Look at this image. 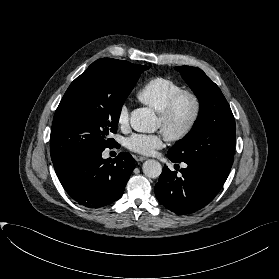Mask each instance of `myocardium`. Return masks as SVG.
<instances>
[{
    "label": "myocardium",
    "instance_id": "1",
    "mask_svg": "<svg viewBox=\"0 0 279 279\" xmlns=\"http://www.w3.org/2000/svg\"><path fill=\"white\" fill-rule=\"evenodd\" d=\"M181 98H188L193 105V111L188 122L180 129H171V121L173 119L176 106ZM202 114V102L199 96L191 90H179L174 93L169 100L165 108L159 113V120L162 124V131L167 139L171 141H180L186 138L198 124Z\"/></svg>",
    "mask_w": 279,
    "mask_h": 279
}]
</instances>
